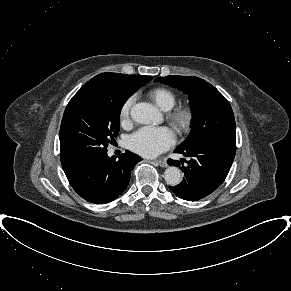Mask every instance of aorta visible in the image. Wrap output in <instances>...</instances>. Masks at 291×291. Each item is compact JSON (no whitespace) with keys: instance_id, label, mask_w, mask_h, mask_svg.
<instances>
[{"instance_id":"762f6f07","label":"aorta","mask_w":291,"mask_h":291,"mask_svg":"<svg viewBox=\"0 0 291 291\" xmlns=\"http://www.w3.org/2000/svg\"><path fill=\"white\" fill-rule=\"evenodd\" d=\"M130 115L135 122L140 124H150L159 118L158 110L145 102L135 104ZM164 179L169 185H178L182 181L181 170L175 166L168 167L164 172Z\"/></svg>"}]
</instances>
